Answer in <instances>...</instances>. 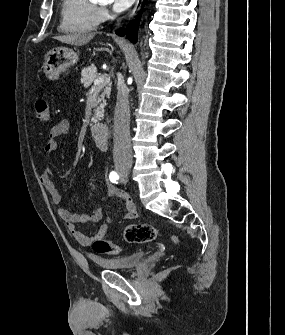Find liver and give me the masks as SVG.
<instances>
[{"label": "liver", "mask_w": 285, "mask_h": 335, "mask_svg": "<svg viewBox=\"0 0 285 335\" xmlns=\"http://www.w3.org/2000/svg\"><path fill=\"white\" fill-rule=\"evenodd\" d=\"M93 38L94 34H68V36H55L54 40H59L62 44H71V46H84Z\"/></svg>", "instance_id": "obj_1"}]
</instances>
